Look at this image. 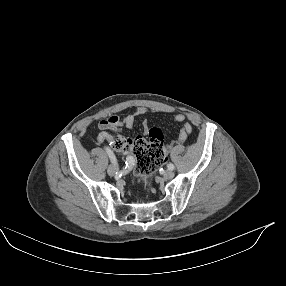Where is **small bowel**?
Here are the masks:
<instances>
[{"instance_id":"1","label":"small bowel","mask_w":286,"mask_h":286,"mask_svg":"<svg viewBox=\"0 0 286 286\" xmlns=\"http://www.w3.org/2000/svg\"><path fill=\"white\" fill-rule=\"evenodd\" d=\"M153 112H159V109H153ZM147 113V109L144 107H138L134 114H128L124 117H119L117 115H111L107 118L100 120L98 123V128L100 132L96 137V141L98 143H109L115 133L119 132L122 128L131 129L135 125L136 117L143 116ZM172 119L175 122L182 123L186 120V115L182 113H178L173 115ZM148 124L146 122L143 123V131L146 133L148 131ZM192 132V126L189 123H184L182 129L180 130L176 141L174 143L180 144L187 140L188 136ZM168 145V148H171L173 144Z\"/></svg>"}]
</instances>
